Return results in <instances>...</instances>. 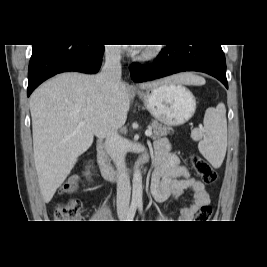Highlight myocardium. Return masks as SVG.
Returning <instances> with one entry per match:
<instances>
[{"mask_svg": "<svg viewBox=\"0 0 267 267\" xmlns=\"http://www.w3.org/2000/svg\"><path fill=\"white\" fill-rule=\"evenodd\" d=\"M160 53V48L157 46H148L140 55L141 60H150L155 58Z\"/></svg>", "mask_w": 267, "mask_h": 267, "instance_id": "obj_1", "label": "myocardium"}]
</instances>
